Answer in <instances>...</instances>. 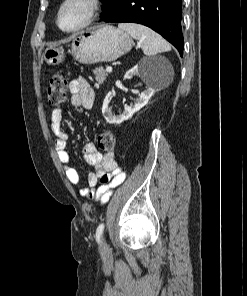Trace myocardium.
<instances>
[{
	"label": "myocardium",
	"instance_id": "myocardium-1",
	"mask_svg": "<svg viewBox=\"0 0 247 296\" xmlns=\"http://www.w3.org/2000/svg\"><path fill=\"white\" fill-rule=\"evenodd\" d=\"M73 2H80L85 4L87 7V12L84 20L78 26L67 29L61 25V16L64 9ZM99 10H100L99 0H63L57 12L56 24L62 32H65V33L79 32L94 22V20L96 19L99 13Z\"/></svg>",
	"mask_w": 247,
	"mask_h": 296
}]
</instances>
